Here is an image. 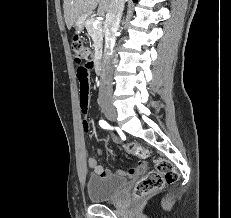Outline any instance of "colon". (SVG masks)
Returning a JSON list of instances; mask_svg holds the SVG:
<instances>
[{"label": "colon", "instance_id": "obj_1", "mask_svg": "<svg viewBox=\"0 0 231 218\" xmlns=\"http://www.w3.org/2000/svg\"><path fill=\"white\" fill-rule=\"evenodd\" d=\"M72 53L74 61L78 66L86 63L87 60H93L92 50L87 47L79 36L72 40ZM124 150L140 158H148L149 151L142 145L130 142L124 145ZM155 170L150 171L142 177L135 185L133 196L135 200H140L146 196L160 190L165 184H173L178 180L179 174L174 165L167 159H154Z\"/></svg>", "mask_w": 231, "mask_h": 218}]
</instances>
